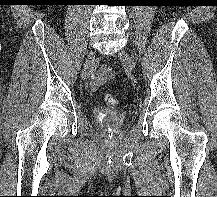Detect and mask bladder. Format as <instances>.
Listing matches in <instances>:
<instances>
[{"label": "bladder", "mask_w": 217, "mask_h": 197, "mask_svg": "<svg viewBox=\"0 0 217 197\" xmlns=\"http://www.w3.org/2000/svg\"><path fill=\"white\" fill-rule=\"evenodd\" d=\"M94 119L106 129H119L124 125V116L116 110L107 108H96Z\"/></svg>", "instance_id": "1"}]
</instances>
